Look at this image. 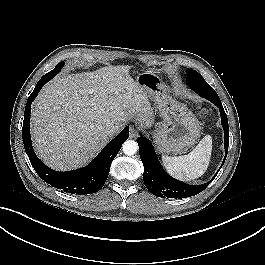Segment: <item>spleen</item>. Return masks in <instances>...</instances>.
Instances as JSON below:
<instances>
[{"mask_svg":"<svg viewBox=\"0 0 265 265\" xmlns=\"http://www.w3.org/2000/svg\"><path fill=\"white\" fill-rule=\"evenodd\" d=\"M212 152V138L206 135L187 155L170 157L163 155L162 162L173 177L189 181L202 176L208 168Z\"/></svg>","mask_w":265,"mask_h":265,"instance_id":"spleen-1","label":"spleen"}]
</instances>
